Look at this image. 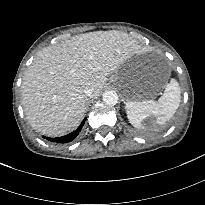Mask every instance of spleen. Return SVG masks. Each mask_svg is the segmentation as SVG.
<instances>
[{
    "mask_svg": "<svg viewBox=\"0 0 205 205\" xmlns=\"http://www.w3.org/2000/svg\"><path fill=\"white\" fill-rule=\"evenodd\" d=\"M181 99V90L178 82L171 79L166 85L164 93L158 99L144 101H130L125 105L129 122L134 127H141L142 121L155 116L158 124H164L177 111Z\"/></svg>",
    "mask_w": 205,
    "mask_h": 205,
    "instance_id": "1",
    "label": "spleen"
}]
</instances>
